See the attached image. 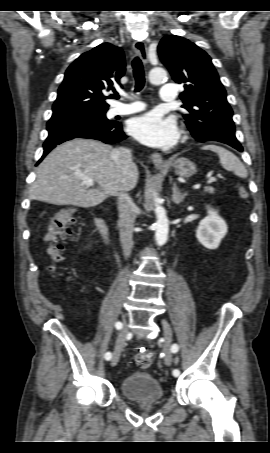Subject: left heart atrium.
<instances>
[{"label": "left heart atrium", "mask_w": 270, "mask_h": 453, "mask_svg": "<svg viewBox=\"0 0 270 453\" xmlns=\"http://www.w3.org/2000/svg\"><path fill=\"white\" fill-rule=\"evenodd\" d=\"M128 130L141 143L160 148L174 145L179 137L175 121L155 112L132 119Z\"/></svg>", "instance_id": "1"}]
</instances>
